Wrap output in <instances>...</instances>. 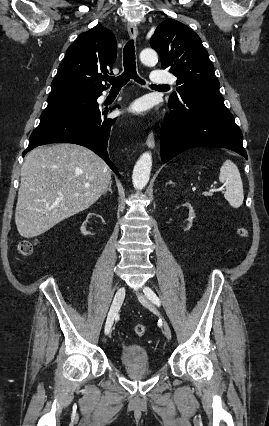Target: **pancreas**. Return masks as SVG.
Instances as JSON below:
<instances>
[{
  "mask_svg": "<svg viewBox=\"0 0 269 426\" xmlns=\"http://www.w3.org/2000/svg\"><path fill=\"white\" fill-rule=\"evenodd\" d=\"M205 195H206V196H209V195H211V193H205Z\"/></svg>",
  "mask_w": 269,
  "mask_h": 426,
  "instance_id": "pancreas-1",
  "label": "pancreas"
}]
</instances>
